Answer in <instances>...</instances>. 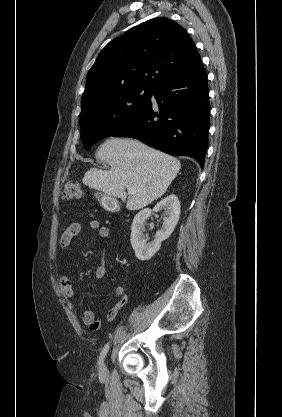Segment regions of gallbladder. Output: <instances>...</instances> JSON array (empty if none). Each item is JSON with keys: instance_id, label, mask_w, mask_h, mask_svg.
Returning <instances> with one entry per match:
<instances>
[{"instance_id": "1", "label": "gallbladder", "mask_w": 282, "mask_h": 417, "mask_svg": "<svg viewBox=\"0 0 282 417\" xmlns=\"http://www.w3.org/2000/svg\"><path fill=\"white\" fill-rule=\"evenodd\" d=\"M94 196H96V198H97V200H99V202H101V200H103V198H104L102 192H94Z\"/></svg>"}]
</instances>
